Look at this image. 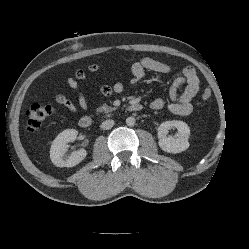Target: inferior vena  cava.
I'll list each match as a JSON object with an SVG mask.
<instances>
[{
    "mask_svg": "<svg viewBox=\"0 0 249 249\" xmlns=\"http://www.w3.org/2000/svg\"><path fill=\"white\" fill-rule=\"evenodd\" d=\"M113 126H114V120H112V119L105 120L100 125L101 129H103V130L111 129Z\"/></svg>",
    "mask_w": 249,
    "mask_h": 249,
    "instance_id": "602c4592",
    "label": "inferior vena cava"
}]
</instances>
